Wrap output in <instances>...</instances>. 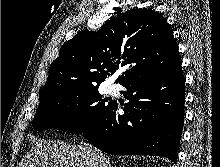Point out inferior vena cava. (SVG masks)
Here are the masks:
<instances>
[{
  "label": "inferior vena cava",
  "instance_id": "1",
  "mask_svg": "<svg viewBox=\"0 0 220 167\" xmlns=\"http://www.w3.org/2000/svg\"><path fill=\"white\" fill-rule=\"evenodd\" d=\"M100 167H111V166H109L108 163L104 162V158L102 157V159L100 160Z\"/></svg>",
  "mask_w": 220,
  "mask_h": 167
}]
</instances>
